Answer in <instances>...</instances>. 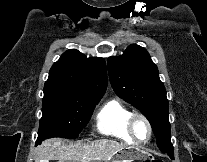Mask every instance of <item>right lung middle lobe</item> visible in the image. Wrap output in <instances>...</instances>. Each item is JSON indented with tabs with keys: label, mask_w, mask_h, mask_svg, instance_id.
Segmentation results:
<instances>
[{
	"label": "right lung middle lobe",
	"mask_w": 207,
	"mask_h": 162,
	"mask_svg": "<svg viewBox=\"0 0 207 162\" xmlns=\"http://www.w3.org/2000/svg\"><path fill=\"white\" fill-rule=\"evenodd\" d=\"M101 97L44 91L38 142L51 137L77 138Z\"/></svg>",
	"instance_id": "1"
}]
</instances>
